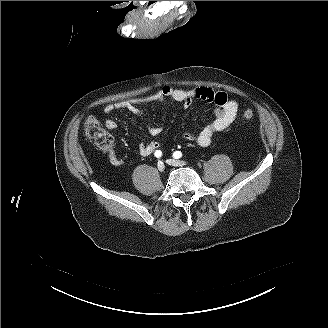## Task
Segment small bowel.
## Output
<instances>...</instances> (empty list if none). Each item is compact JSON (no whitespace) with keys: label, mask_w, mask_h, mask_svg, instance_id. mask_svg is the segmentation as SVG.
<instances>
[{"label":"small bowel","mask_w":328,"mask_h":328,"mask_svg":"<svg viewBox=\"0 0 328 328\" xmlns=\"http://www.w3.org/2000/svg\"><path fill=\"white\" fill-rule=\"evenodd\" d=\"M170 99L174 102L182 103L188 108L193 100H202L215 105L213 112V120L207 124L199 133L194 134L185 132L183 138L187 141H195L201 147H208L213 135L217 132L226 130L235 120L238 113V103L229 99L227 94L222 91H214L205 87H196L192 89H179L171 86H165L156 93L147 97H138L127 100L118 101L105 106L104 112L111 113L116 110H127L134 114L144 115L141 106L151 101H164ZM107 129H115L117 122L113 119H107L104 122ZM147 130L152 136H158L163 132V129L153 124H147ZM160 143L152 140L148 143H141L138 147V152L142 157H147L159 149ZM110 163L119 167L124 164V161L118 157L112 147L106 150Z\"/></svg>","instance_id":"small-bowel-1"}]
</instances>
